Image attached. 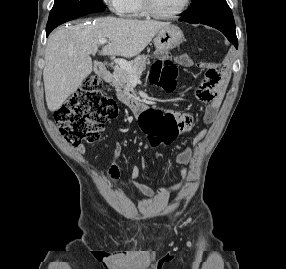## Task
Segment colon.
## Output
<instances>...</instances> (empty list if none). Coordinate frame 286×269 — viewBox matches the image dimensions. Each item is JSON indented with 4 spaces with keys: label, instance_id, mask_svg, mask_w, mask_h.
Returning a JSON list of instances; mask_svg holds the SVG:
<instances>
[{
    "label": "colon",
    "instance_id": "obj_1",
    "mask_svg": "<svg viewBox=\"0 0 286 269\" xmlns=\"http://www.w3.org/2000/svg\"><path fill=\"white\" fill-rule=\"evenodd\" d=\"M154 57L160 59L150 74L151 82L171 92L175 88L177 67L168 49H154ZM163 62V63H162ZM205 69L202 82L205 88H216L219 80L218 70L222 65ZM117 108L115 102L109 98L102 83L96 77L84 81L81 88L65 104L55 111V121L61 135L70 144L77 146L82 142H94L99 139L104 124L115 117ZM144 115L140 116V126H144L142 134L148 137L147 149L167 147L180 135L176 121L170 114L163 112L161 106L144 108ZM160 150H146V155H160Z\"/></svg>",
    "mask_w": 286,
    "mask_h": 269
}]
</instances>
